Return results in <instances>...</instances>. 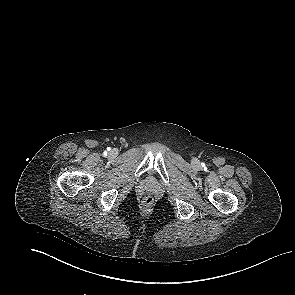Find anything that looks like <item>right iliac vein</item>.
I'll return each mask as SVG.
<instances>
[{
    "mask_svg": "<svg viewBox=\"0 0 295 295\" xmlns=\"http://www.w3.org/2000/svg\"><path fill=\"white\" fill-rule=\"evenodd\" d=\"M117 155V151L115 149L110 151V156L115 157Z\"/></svg>",
    "mask_w": 295,
    "mask_h": 295,
    "instance_id": "63e3f726",
    "label": "right iliac vein"
}]
</instances>
